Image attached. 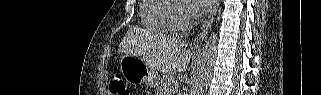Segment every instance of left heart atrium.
Wrapping results in <instances>:
<instances>
[{
	"label": "left heart atrium",
	"instance_id": "obj_1",
	"mask_svg": "<svg viewBox=\"0 0 321 95\" xmlns=\"http://www.w3.org/2000/svg\"><path fill=\"white\" fill-rule=\"evenodd\" d=\"M190 6L186 9V13L191 16H200L207 12L214 2L213 0H188Z\"/></svg>",
	"mask_w": 321,
	"mask_h": 95
}]
</instances>
